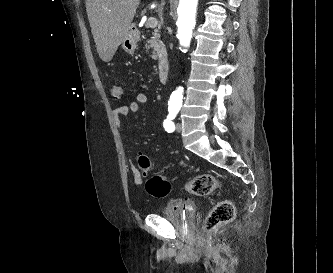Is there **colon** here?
<instances>
[{"mask_svg": "<svg viewBox=\"0 0 333 273\" xmlns=\"http://www.w3.org/2000/svg\"><path fill=\"white\" fill-rule=\"evenodd\" d=\"M111 95L115 100L124 96L121 85L111 86ZM138 169L142 174H148L151 169V162L147 156L139 155L137 158ZM221 187L220 180L211 174H200L185 184V190L196 196H207ZM146 190L157 198L166 197L170 192V182L167 177L152 175L146 182ZM235 217V206L229 200H223L214 205L204 220L203 230L207 234L213 233L221 225L231 222Z\"/></svg>", "mask_w": 333, "mask_h": 273, "instance_id": "5ec220e1", "label": "colon"}]
</instances>
